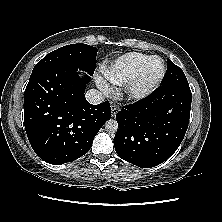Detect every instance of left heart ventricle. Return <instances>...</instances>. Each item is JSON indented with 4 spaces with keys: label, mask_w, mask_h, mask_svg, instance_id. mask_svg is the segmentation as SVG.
<instances>
[{
    "label": "left heart ventricle",
    "mask_w": 222,
    "mask_h": 222,
    "mask_svg": "<svg viewBox=\"0 0 222 222\" xmlns=\"http://www.w3.org/2000/svg\"><path fill=\"white\" fill-rule=\"evenodd\" d=\"M162 70V63L160 60H154L149 69H148V72H147V79H153L155 77H157L160 72Z\"/></svg>",
    "instance_id": "b2bd125f"
}]
</instances>
